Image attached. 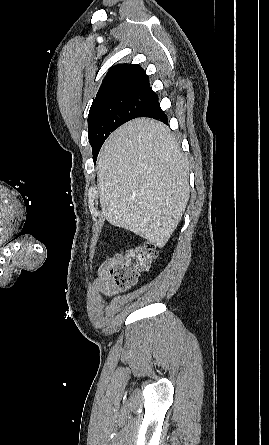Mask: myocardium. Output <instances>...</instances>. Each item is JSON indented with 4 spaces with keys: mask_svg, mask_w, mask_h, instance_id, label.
<instances>
[{
    "mask_svg": "<svg viewBox=\"0 0 269 445\" xmlns=\"http://www.w3.org/2000/svg\"><path fill=\"white\" fill-rule=\"evenodd\" d=\"M11 236V233L6 235L5 237H3L2 239H0V243L4 242L5 240H7L9 237Z\"/></svg>",
    "mask_w": 269,
    "mask_h": 445,
    "instance_id": "obj_1",
    "label": "myocardium"
}]
</instances>
